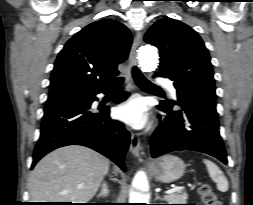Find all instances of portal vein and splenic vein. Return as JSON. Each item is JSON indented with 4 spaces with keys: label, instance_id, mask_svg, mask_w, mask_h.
<instances>
[{
    "label": "portal vein and splenic vein",
    "instance_id": "portal-vein-and-splenic-vein-1",
    "mask_svg": "<svg viewBox=\"0 0 253 205\" xmlns=\"http://www.w3.org/2000/svg\"><path fill=\"white\" fill-rule=\"evenodd\" d=\"M183 187H174V188H171V189H168L167 191H165V194H170V193H174L178 190H181Z\"/></svg>",
    "mask_w": 253,
    "mask_h": 205
}]
</instances>
